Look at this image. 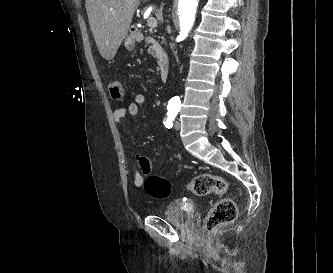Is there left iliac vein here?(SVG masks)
<instances>
[{
	"label": "left iliac vein",
	"instance_id": "4c4485c4",
	"mask_svg": "<svg viewBox=\"0 0 333 273\" xmlns=\"http://www.w3.org/2000/svg\"><path fill=\"white\" fill-rule=\"evenodd\" d=\"M180 127H181L180 122H179V121H175V123H174V128H175L176 130H179Z\"/></svg>",
	"mask_w": 333,
	"mask_h": 273
}]
</instances>
